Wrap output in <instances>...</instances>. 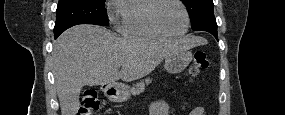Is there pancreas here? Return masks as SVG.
I'll return each mask as SVG.
<instances>
[{
  "instance_id": "pancreas-1",
  "label": "pancreas",
  "mask_w": 285,
  "mask_h": 115,
  "mask_svg": "<svg viewBox=\"0 0 285 115\" xmlns=\"http://www.w3.org/2000/svg\"><path fill=\"white\" fill-rule=\"evenodd\" d=\"M151 82V80L149 78H146L145 80H142L138 83H136V85H134V87L131 89V92L133 94H140L141 92L144 91L145 89V84H149Z\"/></svg>"
}]
</instances>
